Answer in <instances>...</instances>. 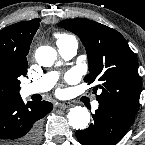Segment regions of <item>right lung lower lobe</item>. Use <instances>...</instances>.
I'll return each mask as SVG.
<instances>
[{
  "mask_svg": "<svg viewBox=\"0 0 145 145\" xmlns=\"http://www.w3.org/2000/svg\"><path fill=\"white\" fill-rule=\"evenodd\" d=\"M50 102H28L20 96L0 99V143L37 145L40 120L52 110Z\"/></svg>",
  "mask_w": 145,
  "mask_h": 145,
  "instance_id": "1",
  "label": "right lung lower lobe"
}]
</instances>
